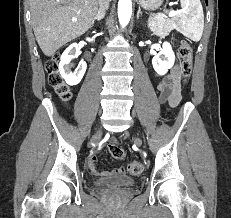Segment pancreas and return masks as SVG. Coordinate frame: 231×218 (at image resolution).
<instances>
[{"label": "pancreas", "mask_w": 231, "mask_h": 218, "mask_svg": "<svg viewBox=\"0 0 231 218\" xmlns=\"http://www.w3.org/2000/svg\"><path fill=\"white\" fill-rule=\"evenodd\" d=\"M172 20H158L154 18H149L148 25L150 30L154 32L155 35L165 37L169 35V33L173 29Z\"/></svg>", "instance_id": "obj_1"}]
</instances>
